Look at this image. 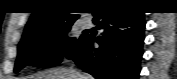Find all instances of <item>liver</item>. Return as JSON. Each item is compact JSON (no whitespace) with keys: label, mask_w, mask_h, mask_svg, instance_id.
<instances>
[{"label":"liver","mask_w":177,"mask_h":79,"mask_svg":"<svg viewBox=\"0 0 177 79\" xmlns=\"http://www.w3.org/2000/svg\"><path fill=\"white\" fill-rule=\"evenodd\" d=\"M26 79H93V77L71 68H55L28 76Z\"/></svg>","instance_id":"obj_1"}]
</instances>
